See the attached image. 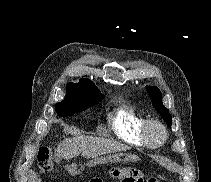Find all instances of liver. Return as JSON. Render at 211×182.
Returning <instances> with one entry per match:
<instances>
[{
  "mask_svg": "<svg viewBox=\"0 0 211 182\" xmlns=\"http://www.w3.org/2000/svg\"><path fill=\"white\" fill-rule=\"evenodd\" d=\"M129 149L128 146L110 139L79 135L61 141L56 148V152L58 156L67 160L77 157L80 153L85 158L96 159L101 155Z\"/></svg>",
  "mask_w": 211,
  "mask_h": 182,
  "instance_id": "liver-1",
  "label": "liver"
}]
</instances>
